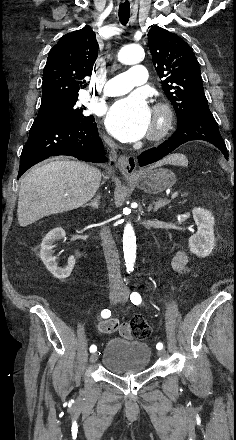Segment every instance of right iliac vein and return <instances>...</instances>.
<instances>
[{"mask_svg":"<svg viewBox=\"0 0 236 440\" xmlns=\"http://www.w3.org/2000/svg\"><path fill=\"white\" fill-rule=\"evenodd\" d=\"M120 297H121V293H120V292H117V291H112V292H110V294H109V299H110V302H111V303H116ZM97 359H98V354H97V353H93V354L90 356V362H91V363L96 362Z\"/></svg>","mask_w":236,"mask_h":440,"instance_id":"obj_1","label":"right iliac vein"}]
</instances>
